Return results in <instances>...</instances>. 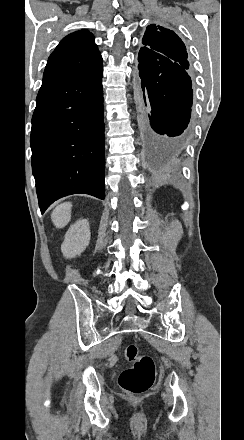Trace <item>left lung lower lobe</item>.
Instances as JSON below:
<instances>
[{
    "instance_id": "1",
    "label": "left lung lower lobe",
    "mask_w": 244,
    "mask_h": 440,
    "mask_svg": "<svg viewBox=\"0 0 244 440\" xmlns=\"http://www.w3.org/2000/svg\"><path fill=\"white\" fill-rule=\"evenodd\" d=\"M136 88L141 108V141L149 154L180 150L190 134L193 100L187 70L139 61Z\"/></svg>"
}]
</instances>
